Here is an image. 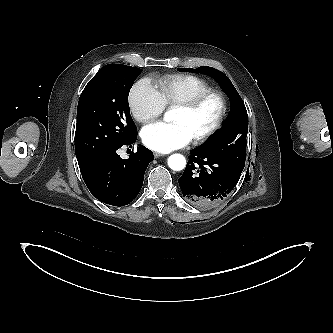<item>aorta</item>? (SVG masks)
Here are the masks:
<instances>
[{"instance_id": "1", "label": "aorta", "mask_w": 333, "mask_h": 333, "mask_svg": "<svg viewBox=\"0 0 333 333\" xmlns=\"http://www.w3.org/2000/svg\"><path fill=\"white\" fill-rule=\"evenodd\" d=\"M165 121L171 119V112L168 111L164 116ZM168 166L174 171H181L186 166V159L181 154H173L168 158Z\"/></svg>"}]
</instances>
